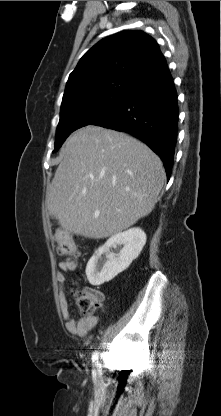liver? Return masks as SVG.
<instances>
[{"label":"liver","mask_w":221,"mask_h":416,"mask_svg":"<svg viewBox=\"0 0 221 416\" xmlns=\"http://www.w3.org/2000/svg\"><path fill=\"white\" fill-rule=\"evenodd\" d=\"M165 179L161 159L146 144L88 125L66 141L46 205L65 231L106 238L150 214Z\"/></svg>","instance_id":"6515ba94"}]
</instances>
